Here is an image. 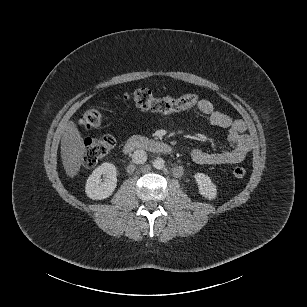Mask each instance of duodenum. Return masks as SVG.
<instances>
[{
  "instance_id": "duodenum-1",
  "label": "duodenum",
  "mask_w": 307,
  "mask_h": 307,
  "mask_svg": "<svg viewBox=\"0 0 307 307\" xmlns=\"http://www.w3.org/2000/svg\"><path fill=\"white\" fill-rule=\"evenodd\" d=\"M138 149H143L152 153L165 155L172 153V147L169 144L141 136L131 137L126 141L124 145L125 153H130Z\"/></svg>"
}]
</instances>
